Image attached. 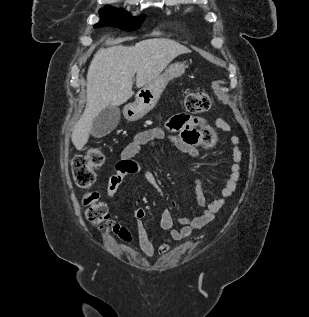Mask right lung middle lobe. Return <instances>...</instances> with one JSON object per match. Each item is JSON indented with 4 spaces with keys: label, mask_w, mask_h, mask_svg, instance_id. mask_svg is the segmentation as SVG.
I'll use <instances>...</instances> for the list:
<instances>
[{
    "label": "right lung middle lobe",
    "mask_w": 309,
    "mask_h": 317,
    "mask_svg": "<svg viewBox=\"0 0 309 317\" xmlns=\"http://www.w3.org/2000/svg\"><path fill=\"white\" fill-rule=\"evenodd\" d=\"M101 20L94 27L112 26L125 31H134L141 27L145 20V15L138 17L130 16L126 11L117 10L110 7L100 10Z\"/></svg>",
    "instance_id": "obj_1"
}]
</instances>
